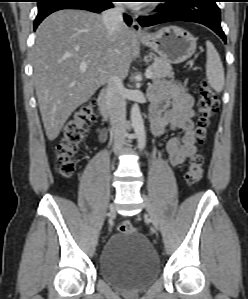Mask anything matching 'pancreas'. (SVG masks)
I'll use <instances>...</instances> for the list:
<instances>
[{
    "instance_id": "1",
    "label": "pancreas",
    "mask_w": 248,
    "mask_h": 299,
    "mask_svg": "<svg viewBox=\"0 0 248 299\" xmlns=\"http://www.w3.org/2000/svg\"><path fill=\"white\" fill-rule=\"evenodd\" d=\"M149 69L152 71V80L162 79L165 77H174L170 63L160 57L153 58V64L149 67Z\"/></svg>"
}]
</instances>
